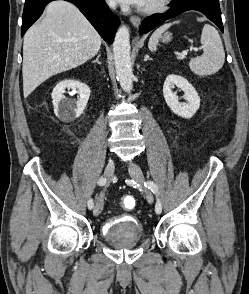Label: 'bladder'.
Returning <instances> with one entry per match:
<instances>
[{"instance_id":"1","label":"bladder","mask_w":249,"mask_h":294,"mask_svg":"<svg viewBox=\"0 0 249 294\" xmlns=\"http://www.w3.org/2000/svg\"><path fill=\"white\" fill-rule=\"evenodd\" d=\"M102 237L111 241L120 237H133L141 240L143 237V224L133 215L113 216L104 223Z\"/></svg>"}]
</instances>
